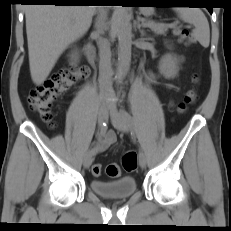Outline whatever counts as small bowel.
<instances>
[{
    "mask_svg": "<svg viewBox=\"0 0 231 231\" xmlns=\"http://www.w3.org/2000/svg\"><path fill=\"white\" fill-rule=\"evenodd\" d=\"M116 140L115 133L113 131H108L105 135L98 139L96 142L94 149L96 153L104 152L107 150Z\"/></svg>",
    "mask_w": 231,
    "mask_h": 231,
    "instance_id": "small-bowel-1",
    "label": "small bowel"
}]
</instances>
